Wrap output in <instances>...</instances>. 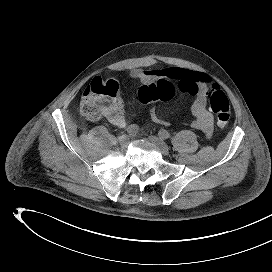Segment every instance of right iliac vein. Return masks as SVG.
<instances>
[{
	"label": "right iliac vein",
	"mask_w": 272,
	"mask_h": 272,
	"mask_svg": "<svg viewBox=\"0 0 272 272\" xmlns=\"http://www.w3.org/2000/svg\"><path fill=\"white\" fill-rule=\"evenodd\" d=\"M130 142V138L128 135H122L120 138H119V143L122 147H125L129 144Z\"/></svg>",
	"instance_id": "obj_1"
}]
</instances>
